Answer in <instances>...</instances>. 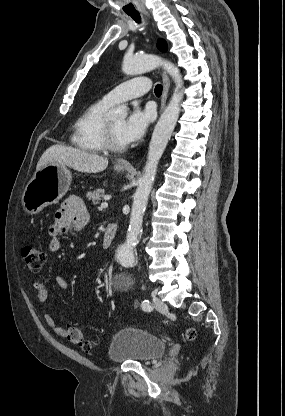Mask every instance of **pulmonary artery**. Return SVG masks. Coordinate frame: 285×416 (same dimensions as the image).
Segmentation results:
<instances>
[{
  "instance_id": "pulmonary-artery-1",
  "label": "pulmonary artery",
  "mask_w": 285,
  "mask_h": 416,
  "mask_svg": "<svg viewBox=\"0 0 285 416\" xmlns=\"http://www.w3.org/2000/svg\"><path fill=\"white\" fill-rule=\"evenodd\" d=\"M149 79L144 76L129 79L104 95L103 100L108 104L121 99L132 102L134 97L145 95L149 89Z\"/></svg>"
}]
</instances>
